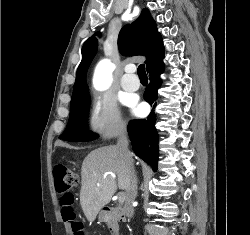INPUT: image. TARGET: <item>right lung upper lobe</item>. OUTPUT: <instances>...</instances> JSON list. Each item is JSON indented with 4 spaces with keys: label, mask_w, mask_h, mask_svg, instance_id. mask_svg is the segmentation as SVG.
<instances>
[{
    "label": "right lung upper lobe",
    "mask_w": 250,
    "mask_h": 235,
    "mask_svg": "<svg viewBox=\"0 0 250 235\" xmlns=\"http://www.w3.org/2000/svg\"><path fill=\"white\" fill-rule=\"evenodd\" d=\"M95 35L83 44L82 60L77 70L72 100L88 92L85 77L97 51ZM118 47L121 54L126 56H146V65L164 48L161 35L157 31L156 23L148 9H143L135 22L121 29L118 36Z\"/></svg>",
    "instance_id": "1"
}]
</instances>
